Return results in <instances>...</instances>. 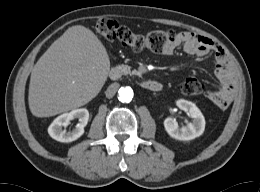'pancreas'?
Masks as SVG:
<instances>
[{
  "mask_svg": "<svg viewBox=\"0 0 260 192\" xmlns=\"http://www.w3.org/2000/svg\"><path fill=\"white\" fill-rule=\"evenodd\" d=\"M119 68L121 69L122 73L124 75L130 74V75H141V73L137 70L131 71V67L128 65H120Z\"/></svg>",
  "mask_w": 260,
  "mask_h": 192,
  "instance_id": "1",
  "label": "pancreas"
}]
</instances>
